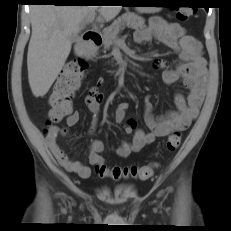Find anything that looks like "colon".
<instances>
[{
    "label": "colon",
    "instance_id": "colon-1",
    "mask_svg": "<svg viewBox=\"0 0 231 231\" xmlns=\"http://www.w3.org/2000/svg\"><path fill=\"white\" fill-rule=\"evenodd\" d=\"M191 9H179L176 12V18L179 21H185L191 15ZM87 69V62L84 58L78 57L66 63L60 72L52 91L49 95V122L45 130L47 135L52 127V122H59L72 111V99L80 86ZM62 132L60 129L59 133ZM181 144V134L179 131L172 132L167 141L166 149L170 152L175 151ZM156 168V164L144 166H115L109 168L105 164L95 166V174L98 177H109L113 180L123 178H137L146 180L150 178Z\"/></svg>",
    "mask_w": 231,
    "mask_h": 231
}]
</instances>
